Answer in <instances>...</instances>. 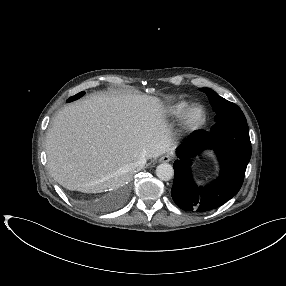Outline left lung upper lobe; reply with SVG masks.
I'll return each mask as SVG.
<instances>
[{
	"instance_id": "1",
	"label": "left lung upper lobe",
	"mask_w": 286,
	"mask_h": 286,
	"mask_svg": "<svg viewBox=\"0 0 286 286\" xmlns=\"http://www.w3.org/2000/svg\"><path fill=\"white\" fill-rule=\"evenodd\" d=\"M199 90L207 94L213 111L217 114L215 122L224 120L246 121L243 112L236 104L222 98L210 88H200Z\"/></svg>"
}]
</instances>
